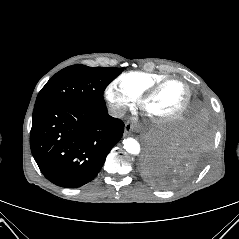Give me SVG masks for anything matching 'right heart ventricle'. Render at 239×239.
Segmentation results:
<instances>
[{"instance_id":"1","label":"right heart ventricle","mask_w":239,"mask_h":239,"mask_svg":"<svg viewBox=\"0 0 239 239\" xmlns=\"http://www.w3.org/2000/svg\"><path fill=\"white\" fill-rule=\"evenodd\" d=\"M167 77L168 75L160 73L131 71L122 74L118 78L117 84L126 93L138 99L148 88Z\"/></svg>"}]
</instances>
